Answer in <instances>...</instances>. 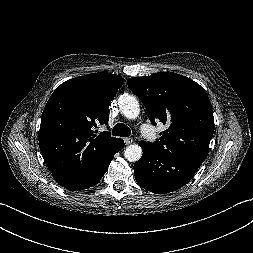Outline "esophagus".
Here are the masks:
<instances>
[{
    "label": "esophagus",
    "mask_w": 253,
    "mask_h": 253,
    "mask_svg": "<svg viewBox=\"0 0 253 253\" xmlns=\"http://www.w3.org/2000/svg\"><path fill=\"white\" fill-rule=\"evenodd\" d=\"M133 142V139L132 138H124V143H125V145H129V144H131Z\"/></svg>",
    "instance_id": "1"
}]
</instances>
